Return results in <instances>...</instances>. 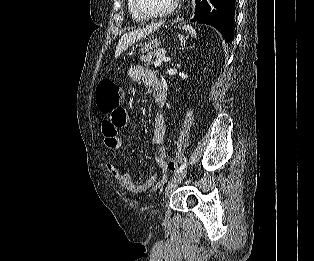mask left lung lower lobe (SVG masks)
<instances>
[{
	"label": "left lung lower lobe",
	"instance_id": "left-lung-lower-lobe-1",
	"mask_svg": "<svg viewBox=\"0 0 314 261\" xmlns=\"http://www.w3.org/2000/svg\"><path fill=\"white\" fill-rule=\"evenodd\" d=\"M235 0H196V12L192 22L215 27L228 43L234 37Z\"/></svg>",
	"mask_w": 314,
	"mask_h": 261
}]
</instances>
